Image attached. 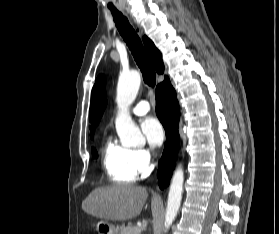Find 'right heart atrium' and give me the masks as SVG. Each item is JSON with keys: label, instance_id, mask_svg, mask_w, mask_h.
<instances>
[{"label": "right heart atrium", "instance_id": "obj_1", "mask_svg": "<svg viewBox=\"0 0 279 234\" xmlns=\"http://www.w3.org/2000/svg\"><path fill=\"white\" fill-rule=\"evenodd\" d=\"M134 160L139 172L147 171L152 165V153L149 149L139 148L134 150Z\"/></svg>", "mask_w": 279, "mask_h": 234}]
</instances>
